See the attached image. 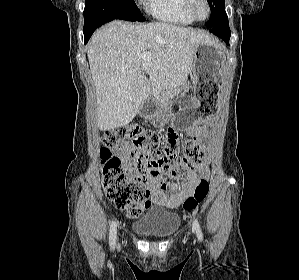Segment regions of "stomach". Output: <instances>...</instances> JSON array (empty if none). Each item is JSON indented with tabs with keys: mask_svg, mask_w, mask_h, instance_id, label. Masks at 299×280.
Instances as JSON below:
<instances>
[{
	"mask_svg": "<svg viewBox=\"0 0 299 280\" xmlns=\"http://www.w3.org/2000/svg\"><path fill=\"white\" fill-rule=\"evenodd\" d=\"M226 60L223 48L216 43H201L194 49L190 72L193 96L182 95L160 105L147 104L139 114L151 120L155 127L169 121L180 129H188L201 117L213 116L222 98V67ZM178 106L176 112L174 106Z\"/></svg>",
	"mask_w": 299,
	"mask_h": 280,
	"instance_id": "obj_1",
	"label": "stomach"
}]
</instances>
